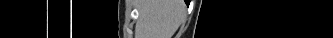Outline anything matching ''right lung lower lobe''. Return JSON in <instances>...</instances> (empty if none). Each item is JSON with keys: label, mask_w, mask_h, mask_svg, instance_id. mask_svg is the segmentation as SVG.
Here are the masks:
<instances>
[{"label": "right lung lower lobe", "mask_w": 333, "mask_h": 38, "mask_svg": "<svg viewBox=\"0 0 333 38\" xmlns=\"http://www.w3.org/2000/svg\"><path fill=\"white\" fill-rule=\"evenodd\" d=\"M185 2H186L187 4H189V2H188L187 0H185Z\"/></svg>", "instance_id": "1"}]
</instances>
